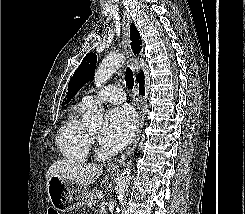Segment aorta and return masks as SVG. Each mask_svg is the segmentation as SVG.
<instances>
[{
    "instance_id": "1",
    "label": "aorta",
    "mask_w": 245,
    "mask_h": 214,
    "mask_svg": "<svg viewBox=\"0 0 245 214\" xmlns=\"http://www.w3.org/2000/svg\"><path fill=\"white\" fill-rule=\"evenodd\" d=\"M124 57L121 54H114L106 57L98 66L94 82L97 87H101L106 81L123 65ZM84 123L90 127H100L103 120L102 107L99 105L91 106L84 116ZM131 179L130 163L121 171L115 187L118 199H121L128 189Z\"/></svg>"
}]
</instances>
